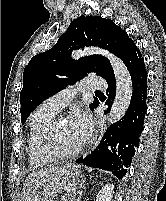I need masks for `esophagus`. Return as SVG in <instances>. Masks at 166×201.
Instances as JSON below:
<instances>
[{"label":"esophagus","mask_w":166,"mask_h":201,"mask_svg":"<svg viewBox=\"0 0 166 201\" xmlns=\"http://www.w3.org/2000/svg\"><path fill=\"white\" fill-rule=\"evenodd\" d=\"M102 137H103V128L99 126L98 129L96 130L95 138H94L91 149H94L95 147H97V145L100 143Z\"/></svg>","instance_id":"34e87169"}]
</instances>
